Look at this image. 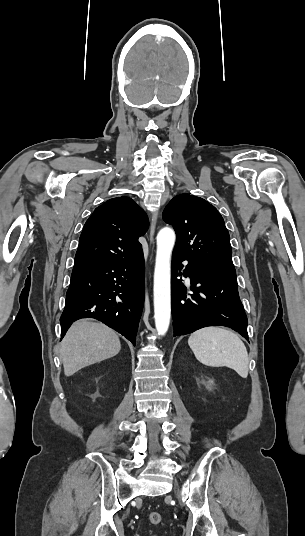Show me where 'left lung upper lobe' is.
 <instances>
[{"instance_id":"obj_1","label":"left lung upper lobe","mask_w":305,"mask_h":536,"mask_svg":"<svg viewBox=\"0 0 305 536\" xmlns=\"http://www.w3.org/2000/svg\"><path fill=\"white\" fill-rule=\"evenodd\" d=\"M176 232L173 254L209 271L236 274L230 236L217 209L206 200L181 194L163 211Z\"/></svg>"}]
</instances>
